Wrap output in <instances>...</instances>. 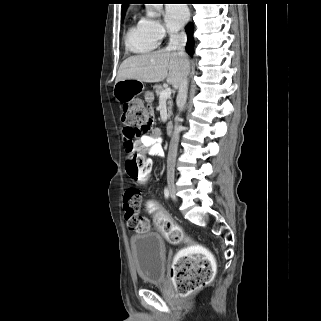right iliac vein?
Instances as JSON below:
<instances>
[{
	"label": "right iliac vein",
	"mask_w": 321,
	"mask_h": 321,
	"mask_svg": "<svg viewBox=\"0 0 321 321\" xmlns=\"http://www.w3.org/2000/svg\"><path fill=\"white\" fill-rule=\"evenodd\" d=\"M167 184H168V190H169L170 196L172 197L173 200H176V189H175L174 176L173 175H168Z\"/></svg>",
	"instance_id": "right-iliac-vein-1"
}]
</instances>
